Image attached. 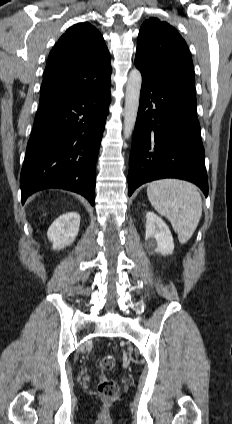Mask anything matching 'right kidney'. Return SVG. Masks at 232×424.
<instances>
[{
  "label": "right kidney",
  "mask_w": 232,
  "mask_h": 424,
  "mask_svg": "<svg viewBox=\"0 0 232 424\" xmlns=\"http://www.w3.org/2000/svg\"><path fill=\"white\" fill-rule=\"evenodd\" d=\"M80 220L77 212H67L51 224L47 236L53 249L60 250L73 243L79 231Z\"/></svg>",
  "instance_id": "obj_1"
}]
</instances>
